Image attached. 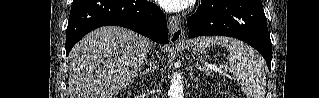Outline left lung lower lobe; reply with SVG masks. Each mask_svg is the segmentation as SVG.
Wrapping results in <instances>:
<instances>
[{
    "mask_svg": "<svg viewBox=\"0 0 319 98\" xmlns=\"http://www.w3.org/2000/svg\"><path fill=\"white\" fill-rule=\"evenodd\" d=\"M187 26L189 38L222 35L248 43L271 69V40L261 0H202Z\"/></svg>",
    "mask_w": 319,
    "mask_h": 98,
    "instance_id": "obj_1",
    "label": "left lung lower lobe"
}]
</instances>
